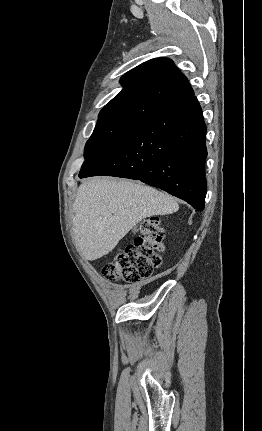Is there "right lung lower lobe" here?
<instances>
[{
    "mask_svg": "<svg viewBox=\"0 0 262 431\" xmlns=\"http://www.w3.org/2000/svg\"><path fill=\"white\" fill-rule=\"evenodd\" d=\"M206 125L196 97L133 125L80 178L140 180L204 209Z\"/></svg>",
    "mask_w": 262,
    "mask_h": 431,
    "instance_id": "1",
    "label": "right lung lower lobe"
}]
</instances>
